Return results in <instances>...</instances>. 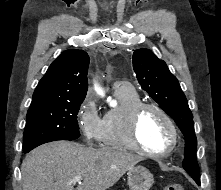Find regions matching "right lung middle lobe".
Returning <instances> with one entry per match:
<instances>
[{"mask_svg": "<svg viewBox=\"0 0 221 190\" xmlns=\"http://www.w3.org/2000/svg\"><path fill=\"white\" fill-rule=\"evenodd\" d=\"M81 104L82 101L30 106L23 135L24 153L50 141L79 138L77 114Z\"/></svg>", "mask_w": 221, "mask_h": 190, "instance_id": "dd1d6c3e", "label": "right lung middle lobe"}]
</instances>
